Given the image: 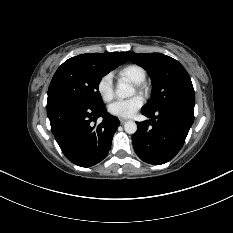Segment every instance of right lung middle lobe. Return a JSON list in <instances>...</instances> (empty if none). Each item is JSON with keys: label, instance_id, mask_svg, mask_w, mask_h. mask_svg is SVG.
Returning <instances> with one entry per match:
<instances>
[{"label": "right lung middle lobe", "instance_id": "obj_1", "mask_svg": "<svg viewBox=\"0 0 233 233\" xmlns=\"http://www.w3.org/2000/svg\"><path fill=\"white\" fill-rule=\"evenodd\" d=\"M122 62L97 59L85 54L65 61L54 74L47 102L67 100L92 108H103L98 84L101 78Z\"/></svg>", "mask_w": 233, "mask_h": 233}]
</instances>
